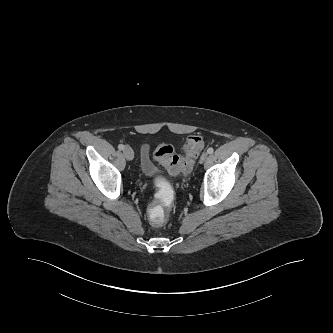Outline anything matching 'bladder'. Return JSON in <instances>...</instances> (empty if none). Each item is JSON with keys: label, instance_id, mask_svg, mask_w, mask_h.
Returning a JSON list of instances; mask_svg holds the SVG:
<instances>
[{"label": "bladder", "instance_id": "31cf9c89", "mask_svg": "<svg viewBox=\"0 0 333 333\" xmlns=\"http://www.w3.org/2000/svg\"><path fill=\"white\" fill-rule=\"evenodd\" d=\"M140 169L145 177L153 178L156 173V167L149 156V148L147 145H143L140 153Z\"/></svg>", "mask_w": 333, "mask_h": 333}]
</instances>
